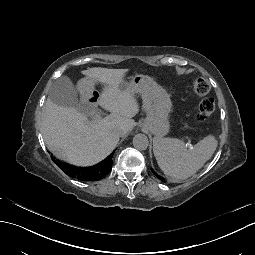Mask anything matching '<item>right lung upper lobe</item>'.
I'll return each mask as SVG.
<instances>
[{"label":"right lung upper lobe","instance_id":"1","mask_svg":"<svg viewBox=\"0 0 255 255\" xmlns=\"http://www.w3.org/2000/svg\"><path fill=\"white\" fill-rule=\"evenodd\" d=\"M113 154L114 152L99 164L91 167H76L59 160H55L54 158H52V160L68 176L77 178L81 181H97L110 173L112 169Z\"/></svg>","mask_w":255,"mask_h":255}]
</instances>
